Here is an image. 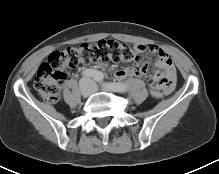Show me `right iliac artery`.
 <instances>
[{
	"label": "right iliac artery",
	"mask_w": 219,
	"mask_h": 174,
	"mask_svg": "<svg viewBox=\"0 0 219 174\" xmlns=\"http://www.w3.org/2000/svg\"><path fill=\"white\" fill-rule=\"evenodd\" d=\"M96 73L97 71L94 69H87L82 73V75L84 77H95Z\"/></svg>",
	"instance_id": "82829eb1"
}]
</instances>
